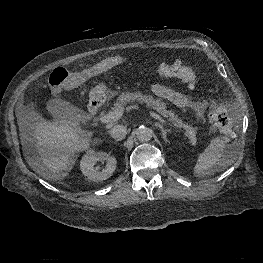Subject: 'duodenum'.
Wrapping results in <instances>:
<instances>
[{
  "instance_id": "1",
  "label": "duodenum",
  "mask_w": 263,
  "mask_h": 263,
  "mask_svg": "<svg viewBox=\"0 0 263 263\" xmlns=\"http://www.w3.org/2000/svg\"><path fill=\"white\" fill-rule=\"evenodd\" d=\"M99 107H100V103L97 100H92L89 103L88 109L90 113L96 114L99 110Z\"/></svg>"
}]
</instances>
